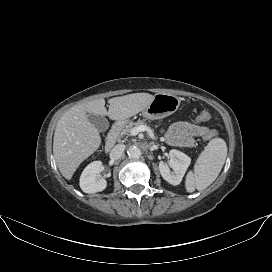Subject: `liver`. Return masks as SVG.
I'll use <instances>...</instances> for the list:
<instances>
[{
    "label": "liver",
    "mask_w": 272,
    "mask_h": 272,
    "mask_svg": "<svg viewBox=\"0 0 272 272\" xmlns=\"http://www.w3.org/2000/svg\"><path fill=\"white\" fill-rule=\"evenodd\" d=\"M153 97L149 93H133L109 99L108 111L104 99L81 103L66 111L57 123L53 139V154L63 177L70 180L79 165L101 145L99 131L87 113L123 121L143 111Z\"/></svg>",
    "instance_id": "1"
}]
</instances>
